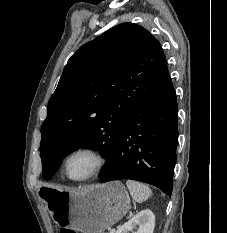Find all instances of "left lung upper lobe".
<instances>
[{
    "label": "left lung upper lobe",
    "mask_w": 227,
    "mask_h": 233,
    "mask_svg": "<svg viewBox=\"0 0 227 233\" xmlns=\"http://www.w3.org/2000/svg\"><path fill=\"white\" fill-rule=\"evenodd\" d=\"M169 78L160 43L143 27L122 23L81 46L68 60L41 128L44 179L80 147L114 155L133 111Z\"/></svg>",
    "instance_id": "obj_1"
}]
</instances>
